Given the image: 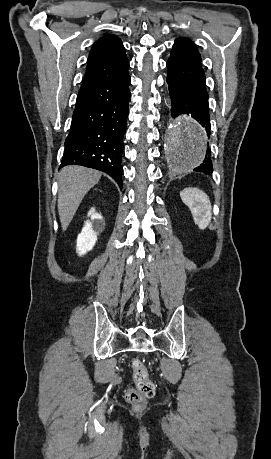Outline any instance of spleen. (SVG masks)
<instances>
[{"label": "spleen", "mask_w": 271, "mask_h": 459, "mask_svg": "<svg viewBox=\"0 0 271 459\" xmlns=\"http://www.w3.org/2000/svg\"><path fill=\"white\" fill-rule=\"evenodd\" d=\"M183 202L190 208L195 224L200 229H206L212 218V208L208 196L195 188L194 198H187Z\"/></svg>", "instance_id": "spleen-1"}]
</instances>
